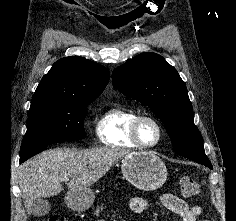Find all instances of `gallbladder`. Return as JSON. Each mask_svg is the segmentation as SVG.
I'll use <instances>...</instances> for the list:
<instances>
[{
	"mask_svg": "<svg viewBox=\"0 0 236 221\" xmlns=\"http://www.w3.org/2000/svg\"><path fill=\"white\" fill-rule=\"evenodd\" d=\"M50 210V204L45 198H37L32 204V214L37 217L45 216Z\"/></svg>",
	"mask_w": 236,
	"mask_h": 221,
	"instance_id": "1",
	"label": "gallbladder"
}]
</instances>
